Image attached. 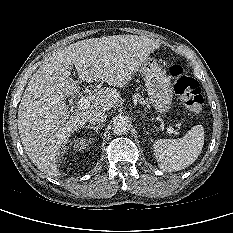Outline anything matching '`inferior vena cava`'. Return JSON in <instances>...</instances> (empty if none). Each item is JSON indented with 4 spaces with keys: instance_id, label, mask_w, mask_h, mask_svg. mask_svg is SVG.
<instances>
[{
    "instance_id": "602c4592",
    "label": "inferior vena cava",
    "mask_w": 233,
    "mask_h": 233,
    "mask_svg": "<svg viewBox=\"0 0 233 233\" xmlns=\"http://www.w3.org/2000/svg\"><path fill=\"white\" fill-rule=\"evenodd\" d=\"M106 118V114L101 110H94L87 116V120L90 122V124L98 125L103 124Z\"/></svg>"
}]
</instances>
